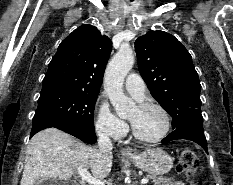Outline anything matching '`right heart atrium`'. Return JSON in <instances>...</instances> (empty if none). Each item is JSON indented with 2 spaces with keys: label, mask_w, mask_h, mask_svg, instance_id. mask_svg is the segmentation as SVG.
Listing matches in <instances>:
<instances>
[{
  "label": "right heart atrium",
  "mask_w": 233,
  "mask_h": 185,
  "mask_svg": "<svg viewBox=\"0 0 233 185\" xmlns=\"http://www.w3.org/2000/svg\"><path fill=\"white\" fill-rule=\"evenodd\" d=\"M95 130L102 137L120 140L127 134L128 126L105 102L99 100L95 105Z\"/></svg>",
  "instance_id": "obj_1"
}]
</instances>
